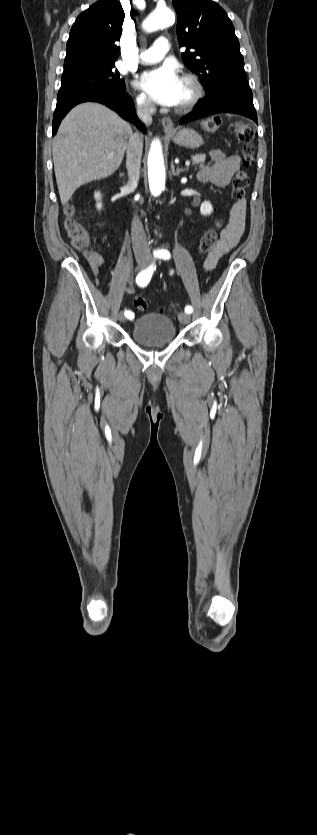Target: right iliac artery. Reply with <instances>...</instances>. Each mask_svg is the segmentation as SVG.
Instances as JSON below:
<instances>
[{"instance_id": "82829eb1", "label": "right iliac artery", "mask_w": 317, "mask_h": 835, "mask_svg": "<svg viewBox=\"0 0 317 835\" xmlns=\"http://www.w3.org/2000/svg\"><path fill=\"white\" fill-rule=\"evenodd\" d=\"M155 268H156V266L151 265L149 268L140 271L139 274L136 277V283L140 287H145L150 282ZM125 316H127L128 318H133L134 313H132L129 310H125Z\"/></svg>"}]
</instances>
